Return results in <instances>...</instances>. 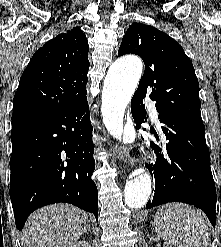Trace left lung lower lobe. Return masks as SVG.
I'll list each match as a JSON object with an SVG mask.
<instances>
[{"label":"left lung lower lobe","mask_w":221,"mask_h":247,"mask_svg":"<svg viewBox=\"0 0 221 247\" xmlns=\"http://www.w3.org/2000/svg\"><path fill=\"white\" fill-rule=\"evenodd\" d=\"M131 113L138 128L147 121L143 98L135 93L131 100ZM159 120L162 135L168 143L164 153L159 146L151 143L157 161L147 168L155 178V193L146 207L167 202L188 203L202 209L215 226L216 188L205 141V126L160 114ZM151 132L159 139L155 130Z\"/></svg>","instance_id":"1"}]
</instances>
